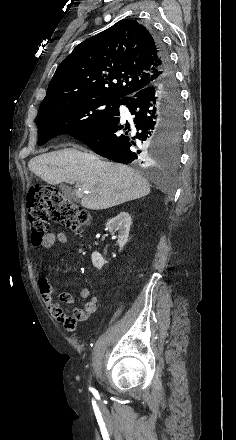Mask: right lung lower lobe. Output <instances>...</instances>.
Wrapping results in <instances>:
<instances>
[{"mask_svg":"<svg viewBox=\"0 0 236 440\" xmlns=\"http://www.w3.org/2000/svg\"><path fill=\"white\" fill-rule=\"evenodd\" d=\"M158 48L161 77L146 88L120 101L133 115L126 122L120 118L119 107L105 121L72 135L85 143L95 153L128 164H149L153 153L145 147L160 145L164 130L182 125V108L179 91L168 53L162 40L153 35ZM177 92L179 97L174 98Z\"/></svg>","mask_w":236,"mask_h":440,"instance_id":"right-lung-lower-lobe-1","label":"right lung lower lobe"}]
</instances>
